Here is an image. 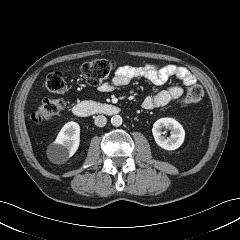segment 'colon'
<instances>
[{
  "label": "colon",
  "mask_w": 240,
  "mask_h": 240,
  "mask_svg": "<svg viewBox=\"0 0 240 240\" xmlns=\"http://www.w3.org/2000/svg\"><path fill=\"white\" fill-rule=\"evenodd\" d=\"M113 61L99 59L85 62L82 65V74L89 85H99L114 70ZM45 89L50 93L62 92L66 88L65 79L60 72H51L44 82ZM204 96V90L200 85L189 86L181 98L183 105L198 103ZM65 107L62 99H48L44 101L34 112L32 119L35 123H41L58 115Z\"/></svg>",
  "instance_id": "colon-1"
}]
</instances>
